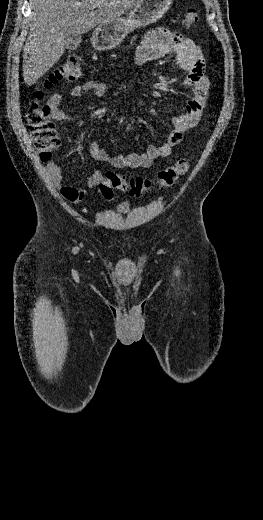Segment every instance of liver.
<instances>
[{"label":"liver","mask_w":263,"mask_h":520,"mask_svg":"<svg viewBox=\"0 0 263 520\" xmlns=\"http://www.w3.org/2000/svg\"><path fill=\"white\" fill-rule=\"evenodd\" d=\"M140 0H31V29L23 49V77L31 86L65 52V36L119 19ZM98 3V5H96Z\"/></svg>","instance_id":"1"}]
</instances>
